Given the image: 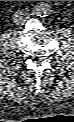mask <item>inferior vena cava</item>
Here are the masks:
<instances>
[{"label":"inferior vena cava","instance_id":"1","mask_svg":"<svg viewBox=\"0 0 74 122\" xmlns=\"http://www.w3.org/2000/svg\"><path fill=\"white\" fill-rule=\"evenodd\" d=\"M28 17V13L24 11H16L14 13L13 20L16 24H23L26 21V19H28Z\"/></svg>","mask_w":74,"mask_h":122}]
</instances>
